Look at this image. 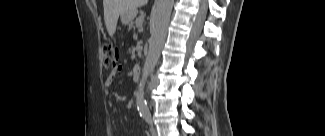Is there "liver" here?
Listing matches in <instances>:
<instances>
[{
	"label": "liver",
	"instance_id": "1",
	"mask_svg": "<svg viewBox=\"0 0 325 136\" xmlns=\"http://www.w3.org/2000/svg\"><path fill=\"white\" fill-rule=\"evenodd\" d=\"M147 0H103L104 20L109 36L116 31L119 15L137 11L139 6L145 5Z\"/></svg>",
	"mask_w": 325,
	"mask_h": 136
}]
</instances>
